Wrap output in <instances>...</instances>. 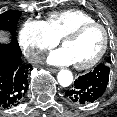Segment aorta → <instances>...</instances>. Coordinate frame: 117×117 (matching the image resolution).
<instances>
[{
    "label": "aorta",
    "mask_w": 117,
    "mask_h": 117,
    "mask_svg": "<svg viewBox=\"0 0 117 117\" xmlns=\"http://www.w3.org/2000/svg\"><path fill=\"white\" fill-rule=\"evenodd\" d=\"M57 79H58V83L62 87H68L73 82V75H72L71 71L64 69L58 73Z\"/></svg>",
    "instance_id": "1"
}]
</instances>
